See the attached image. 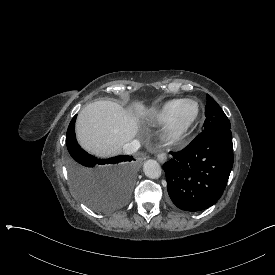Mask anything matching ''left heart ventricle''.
<instances>
[{
  "label": "left heart ventricle",
  "instance_id": "left-heart-ventricle-1",
  "mask_svg": "<svg viewBox=\"0 0 275 275\" xmlns=\"http://www.w3.org/2000/svg\"><path fill=\"white\" fill-rule=\"evenodd\" d=\"M194 108L191 105H184L179 109L178 118L181 122H187L193 115Z\"/></svg>",
  "mask_w": 275,
  "mask_h": 275
}]
</instances>
